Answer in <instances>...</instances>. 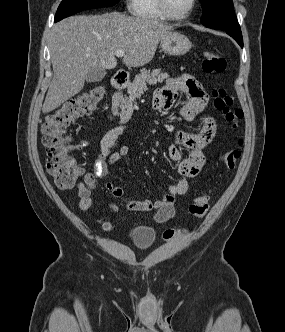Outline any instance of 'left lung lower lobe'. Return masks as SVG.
Returning a JSON list of instances; mask_svg holds the SVG:
<instances>
[{
    "instance_id": "obj_1",
    "label": "left lung lower lobe",
    "mask_w": 285,
    "mask_h": 332,
    "mask_svg": "<svg viewBox=\"0 0 285 332\" xmlns=\"http://www.w3.org/2000/svg\"><path fill=\"white\" fill-rule=\"evenodd\" d=\"M223 30V29H221ZM227 32L228 35H230L232 38H234L237 43L243 47V38H242V33H241V30H229V29H226L224 30Z\"/></svg>"
}]
</instances>
